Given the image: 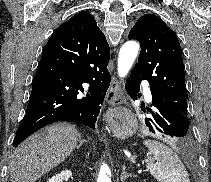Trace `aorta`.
<instances>
[{
	"label": "aorta",
	"mask_w": 211,
	"mask_h": 182,
	"mask_svg": "<svg viewBox=\"0 0 211 182\" xmlns=\"http://www.w3.org/2000/svg\"><path fill=\"white\" fill-rule=\"evenodd\" d=\"M139 51V44L135 41H127L120 49L118 56V75L120 78L127 76L130 71ZM109 167L103 164L97 178V182H111L110 177L107 175Z\"/></svg>",
	"instance_id": "1"
}]
</instances>
